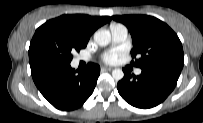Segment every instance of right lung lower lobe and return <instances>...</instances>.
Masks as SVG:
<instances>
[{
  "label": "right lung lower lobe",
  "instance_id": "obj_1",
  "mask_svg": "<svg viewBox=\"0 0 203 123\" xmlns=\"http://www.w3.org/2000/svg\"><path fill=\"white\" fill-rule=\"evenodd\" d=\"M30 67L41 94L61 110L82 106L93 93L100 74V67L94 63H89L82 71L71 68L70 63L54 60L34 61Z\"/></svg>",
  "mask_w": 203,
  "mask_h": 123
}]
</instances>
